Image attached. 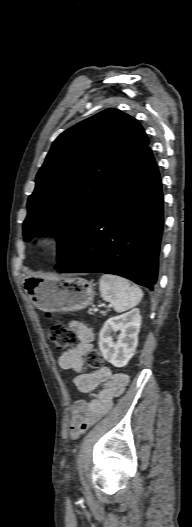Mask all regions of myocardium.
<instances>
[{"mask_svg":"<svg viewBox=\"0 0 192 527\" xmlns=\"http://www.w3.org/2000/svg\"><path fill=\"white\" fill-rule=\"evenodd\" d=\"M61 243V237L58 233H49L42 237L41 246L46 251H54L58 249Z\"/></svg>","mask_w":192,"mask_h":527,"instance_id":"obj_1","label":"myocardium"}]
</instances>
